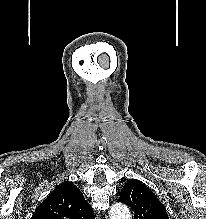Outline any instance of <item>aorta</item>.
Masks as SVG:
<instances>
[{
    "instance_id": "1",
    "label": "aorta",
    "mask_w": 206,
    "mask_h": 219,
    "mask_svg": "<svg viewBox=\"0 0 206 219\" xmlns=\"http://www.w3.org/2000/svg\"><path fill=\"white\" fill-rule=\"evenodd\" d=\"M109 215L110 219H131L130 211L124 204H114Z\"/></svg>"
}]
</instances>
